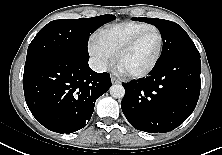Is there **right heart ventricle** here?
<instances>
[{
	"instance_id": "right-heart-ventricle-1",
	"label": "right heart ventricle",
	"mask_w": 222,
	"mask_h": 155,
	"mask_svg": "<svg viewBox=\"0 0 222 155\" xmlns=\"http://www.w3.org/2000/svg\"><path fill=\"white\" fill-rule=\"evenodd\" d=\"M151 27H154V25L147 22L124 21L106 26L98 32L97 36L114 54L124 43L136 34Z\"/></svg>"
}]
</instances>
